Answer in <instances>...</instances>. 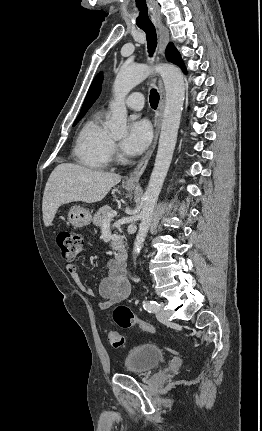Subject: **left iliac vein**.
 I'll use <instances>...</instances> for the list:
<instances>
[{"label":"left iliac vein","instance_id":"obj_1","mask_svg":"<svg viewBox=\"0 0 262 431\" xmlns=\"http://www.w3.org/2000/svg\"><path fill=\"white\" fill-rule=\"evenodd\" d=\"M165 303L161 302L159 308L156 311V317L161 322H166L168 320L167 311L164 309Z\"/></svg>","mask_w":262,"mask_h":431}]
</instances>
